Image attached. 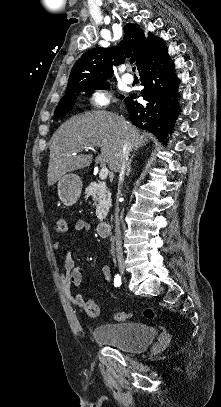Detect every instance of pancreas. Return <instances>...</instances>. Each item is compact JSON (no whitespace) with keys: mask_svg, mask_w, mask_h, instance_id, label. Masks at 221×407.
<instances>
[{"mask_svg":"<svg viewBox=\"0 0 221 407\" xmlns=\"http://www.w3.org/2000/svg\"><path fill=\"white\" fill-rule=\"evenodd\" d=\"M86 196L93 198L97 219L103 220L111 207V193L104 182H92L85 189Z\"/></svg>","mask_w":221,"mask_h":407,"instance_id":"1","label":"pancreas"}]
</instances>
